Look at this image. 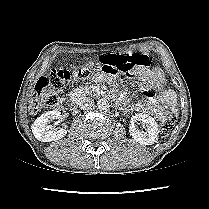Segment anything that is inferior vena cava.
I'll return each mask as SVG.
<instances>
[{"label": "inferior vena cava", "instance_id": "602c4592", "mask_svg": "<svg viewBox=\"0 0 209 209\" xmlns=\"http://www.w3.org/2000/svg\"><path fill=\"white\" fill-rule=\"evenodd\" d=\"M94 105V100L90 97H83L79 100V107L83 110H90Z\"/></svg>", "mask_w": 209, "mask_h": 209}]
</instances>
